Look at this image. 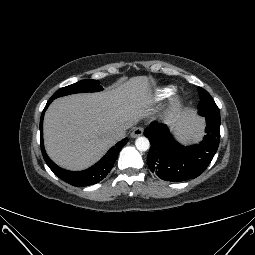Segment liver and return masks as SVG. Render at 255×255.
<instances>
[{
  "label": "liver",
  "mask_w": 255,
  "mask_h": 255,
  "mask_svg": "<svg viewBox=\"0 0 255 255\" xmlns=\"http://www.w3.org/2000/svg\"><path fill=\"white\" fill-rule=\"evenodd\" d=\"M148 79L136 76L99 93L58 98L44 117V144L49 157L69 170H82L98 161L116 140L112 133L150 113ZM166 123L177 135H188L199 123L191 110L172 111Z\"/></svg>",
  "instance_id": "1"
}]
</instances>
